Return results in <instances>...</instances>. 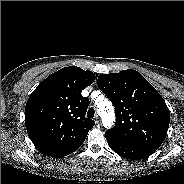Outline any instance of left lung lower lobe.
I'll return each mask as SVG.
<instances>
[{
  "label": "left lung lower lobe",
  "mask_w": 184,
  "mask_h": 184,
  "mask_svg": "<svg viewBox=\"0 0 184 184\" xmlns=\"http://www.w3.org/2000/svg\"><path fill=\"white\" fill-rule=\"evenodd\" d=\"M105 137L110 148L123 158L129 160H140L147 158L152 154V152L144 148L125 142L107 132H105Z\"/></svg>",
  "instance_id": "obj_1"
}]
</instances>
